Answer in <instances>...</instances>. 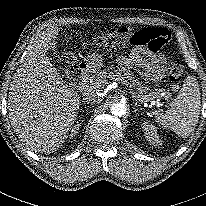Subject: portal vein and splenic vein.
I'll return each mask as SVG.
<instances>
[{"instance_id":"portal-vein-and-splenic-vein-1","label":"portal vein and splenic vein","mask_w":206,"mask_h":206,"mask_svg":"<svg viewBox=\"0 0 206 206\" xmlns=\"http://www.w3.org/2000/svg\"><path fill=\"white\" fill-rule=\"evenodd\" d=\"M123 83H124V81H123ZM82 87H87V86H86V85H85V86L83 85ZM137 98H138V100L141 101V102L144 101V100H143L142 98H140L139 96H137ZM152 104H153V105H157V106H159V107L162 106V103H160V102H158V101H157V102L152 101Z\"/></svg>"}]
</instances>
